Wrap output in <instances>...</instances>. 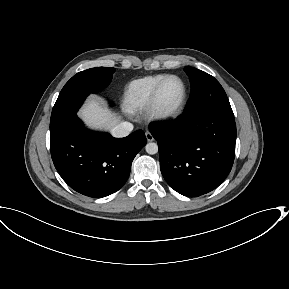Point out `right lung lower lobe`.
Returning <instances> with one entry per match:
<instances>
[{"label": "right lung lower lobe", "instance_id": "98d812e1", "mask_svg": "<svg viewBox=\"0 0 289 289\" xmlns=\"http://www.w3.org/2000/svg\"><path fill=\"white\" fill-rule=\"evenodd\" d=\"M50 143L54 166L63 180L78 193L101 198L126 183L146 137L142 130L125 138L90 131L75 114L50 131Z\"/></svg>", "mask_w": 289, "mask_h": 289}]
</instances>
